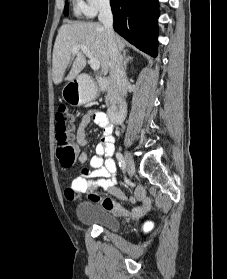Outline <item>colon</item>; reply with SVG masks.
Listing matches in <instances>:
<instances>
[{
	"label": "colon",
	"mask_w": 227,
	"mask_h": 279,
	"mask_svg": "<svg viewBox=\"0 0 227 279\" xmlns=\"http://www.w3.org/2000/svg\"><path fill=\"white\" fill-rule=\"evenodd\" d=\"M72 122V116L67 107L60 105L55 116V138H56V155L64 167L72 166L77 157L78 150L69 141V127ZM98 197V195L96 194Z\"/></svg>",
	"instance_id": "5ec220e1"
}]
</instances>
